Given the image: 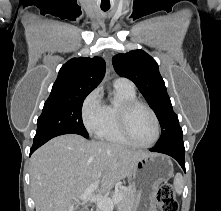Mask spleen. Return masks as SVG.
Listing matches in <instances>:
<instances>
[{"instance_id": "spleen-1", "label": "spleen", "mask_w": 221, "mask_h": 211, "mask_svg": "<svg viewBox=\"0 0 221 211\" xmlns=\"http://www.w3.org/2000/svg\"><path fill=\"white\" fill-rule=\"evenodd\" d=\"M183 186H184V182H183L182 174L177 173L174 178V189L177 194L180 195L182 193Z\"/></svg>"}]
</instances>
